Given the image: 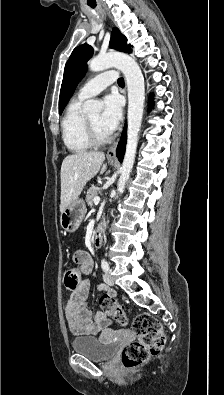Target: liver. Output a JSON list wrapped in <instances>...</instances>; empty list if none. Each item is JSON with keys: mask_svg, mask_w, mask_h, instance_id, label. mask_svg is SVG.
Returning <instances> with one entry per match:
<instances>
[{"mask_svg": "<svg viewBox=\"0 0 224 395\" xmlns=\"http://www.w3.org/2000/svg\"><path fill=\"white\" fill-rule=\"evenodd\" d=\"M104 160V153L98 151H78L64 158L60 174L61 212L78 199L90 179L99 171L100 174L106 171L107 165L104 164Z\"/></svg>", "mask_w": 224, "mask_h": 395, "instance_id": "1", "label": "liver"}]
</instances>
